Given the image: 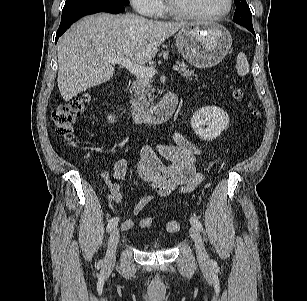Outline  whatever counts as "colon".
I'll return each mask as SVG.
<instances>
[{"label": "colon", "instance_id": "1", "mask_svg": "<svg viewBox=\"0 0 307 301\" xmlns=\"http://www.w3.org/2000/svg\"><path fill=\"white\" fill-rule=\"evenodd\" d=\"M233 96L236 99H242V90L235 88L233 90ZM89 100L90 96L88 94H82L67 102H62L55 107L52 113V120L59 135L64 139L68 141L72 140L77 118L84 111ZM253 114L258 116L259 111L254 110ZM152 224V217H144L140 222L142 228H149ZM165 229L168 232L175 233L180 230V224L176 220H170L165 224Z\"/></svg>", "mask_w": 307, "mask_h": 301}]
</instances>
